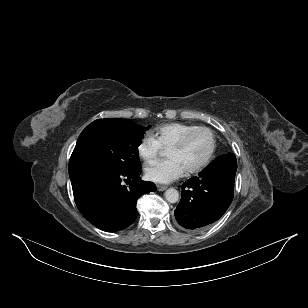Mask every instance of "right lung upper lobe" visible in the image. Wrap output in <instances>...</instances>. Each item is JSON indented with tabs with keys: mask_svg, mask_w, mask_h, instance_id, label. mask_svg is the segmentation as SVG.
<instances>
[{
	"mask_svg": "<svg viewBox=\"0 0 308 308\" xmlns=\"http://www.w3.org/2000/svg\"><path fill=\"white\" fill-rule=\"evenodd\" d=\"M101 121L125 123V122L128 121V119H98V120H96L94 122H101Z\"/></svg>",
	"mask_w": 308,
	"mask_h": 308,
	"instance_id": "1",
	"label": "right lung upper lobe"
}]
</instances>
